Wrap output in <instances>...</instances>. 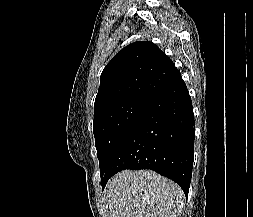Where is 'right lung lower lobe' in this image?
Wrapping results in <instances>:
<instances>
[{
	"mask_svg": "<svg viewBox=\"0 0 253 217\" xmlns=\"http://www.w3.org/2000/svg\"><path fill=\"white\" fill-rule=\"evenodd\" d=\"M194 114L181 76L151 99L122 133L101 175L104 189L124 169H150L180 185L187 196L193 165Z\"/></svg>",
	"mask_w": 253,
	"mask_h": 217,
	"instance_id": "right-lung-lower-lobe-1",
	"label": "right lung lower lobe"
}]
</instances>
